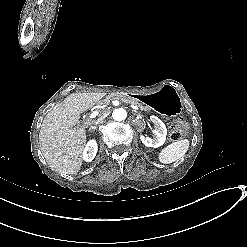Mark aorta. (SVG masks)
Returning <instances> with one entry per match:
<instances>
[{
	"instance_id": "aorta-1",
	"label": "aorta",
	"mask_w": 247,
	"mask_h": 247,
	"mask_svg": "<svg viewBox=\"0 0 247 247\" xmlns=\"http://www.w3.org/2000/svg\"><path fill=\"white\" fill-rule=\"evenodd\" d=\"M112 117L116 121H123L127 117V112L123 108H118L113 111Z\"/></svg>"
}]
</instances>
